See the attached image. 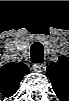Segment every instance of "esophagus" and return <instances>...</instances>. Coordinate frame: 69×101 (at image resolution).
<instances>
[{
    "label": "esophagus",
    "instance_id": "34e87169",
    "mask_svg": "<svg viewBox=\"0 0 69 101\" xmlns=\"http://www.w3.org/2000/svg\"><path fill=\"white\" fill-rule=\"evenodd\" d=\"M46 65L44 63L34 64L33 69L37 72H43Z\"/></svg>",
    "mask_w": 69,
    "mask_h": 101
}]
</instances>
